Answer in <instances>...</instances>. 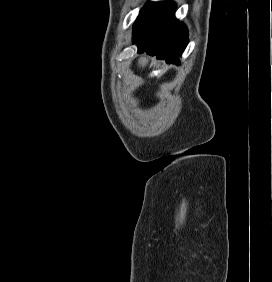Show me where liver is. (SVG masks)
Returning <instances> with one entry per match:
<instances>
[{
	"label": "liver",
	"instance_id": "6515ba94",
	"mask_svg": "<svg viewBox=\"0 0 272 282\" xmlns=\"http://www.w3.org/2000/svg\"><path fill=\"white\" fill-rule=\"evenodd\" d=\"M147 63H148V58L146 56H142L139 59L140 66L145 67L147 65Z\"/></svg>",
	"mask_w": 272,
	"mask_h": 282
}]
</instances>
